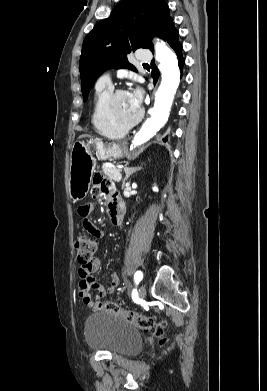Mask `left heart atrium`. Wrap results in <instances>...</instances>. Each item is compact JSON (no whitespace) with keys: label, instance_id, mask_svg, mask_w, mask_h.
<instances>
[{"label":"left heart atrium","instance_id":"39dd6f15","mask_svg":"<svg viewBox=\"0 0 267 391\" xmlns=\"http://www.w3.org/2000/svg\"><path fill=\"white\" fill-rule=\"evenodd\" d=\"M129 95H130V97H131V99L133 101L134 106L137 109H140L141 100H142L141 92L138 89H135L134 91L129 93Z\"/></svg>","mask_w":267,"mask_h":391}]
</instances>
